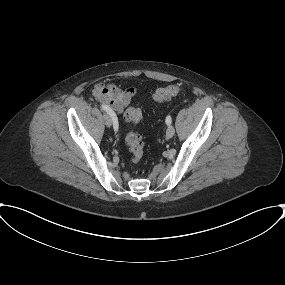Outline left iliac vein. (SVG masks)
<instances>
[{
	"label": "left iliac vein",
	"mask_w": 285,
	"mask_h": 285,
	"mask_svg": "<svg viewBox=\"0 0 285 285\" xmlns=\"http://www.w3.org/2000/svg\"><path fill=\"white\" fill-rule=\"evenodd\" d=\"M175 134V129L172 125H168L167 130H166V136L168 138H172Z\"/></svg>",
	"instance_id": "4c4485c4"
}]
</instances>
